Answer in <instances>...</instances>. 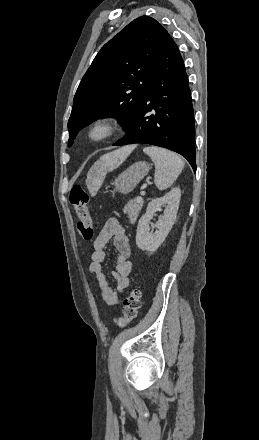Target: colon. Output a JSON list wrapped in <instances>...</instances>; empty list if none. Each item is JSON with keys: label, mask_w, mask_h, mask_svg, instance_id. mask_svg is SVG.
Listing matches in <instances>:
<instances>
[{"label": "colon", "mask_w": 259, "mask_h": 440, "mask_svg": "<svg viewBox=\"0 0 259 440\" xmlns=\"http://www.w3.org/2000/svg\"><path fill=\"white\" fill-rule=\"evenodd\" d=\"M69 201L72 204L77 216V228L81 237L90 241L94 237L92 219L88 210L89 196L80 185H74L69 192ZM141 307V292L138 288H133L123 301L122 316L116 319L120 327L127 326L133 321Z\"/></svg>", "instance_id": "1"}]
</instances>
